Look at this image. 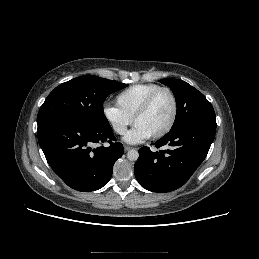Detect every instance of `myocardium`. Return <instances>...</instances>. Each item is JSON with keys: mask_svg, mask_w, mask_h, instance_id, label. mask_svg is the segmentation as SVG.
Segmentation results:
<instances>
[{"mask_svg": "<svg viewBox=\"0 0 259 259\" xmlns=\"http://www.w3.org/2000/svg\"><path fill=\"white\" fill-rule=\"evenodd\" d=\"M161 92H167L170 95L172 102H173V113H172L169 123L161 131L150 136L152 139H159V138L165 136L173 128V126L176 122V119H177V115H178V100H177L175 93L168 87H159L158 89H156L155 91H153L152 93H150L147 96V98L144 100V102L139 107V109L137 110V112L135 113V115L133 117V123L136 124V121L141 116H143L144 114H146L148 112L154 99Z\"/></svg>", "mask_w": 259, "mask_h": 259, "instance_id": "obj_1", "label": "myocardium"}]
</instances>
